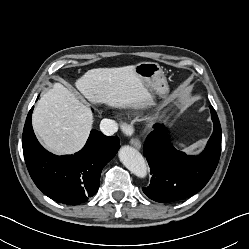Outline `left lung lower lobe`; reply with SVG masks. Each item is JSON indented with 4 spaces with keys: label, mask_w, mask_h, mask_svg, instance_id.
I'll use <instances>...</instances> for the list:
<instances>
[{
    "label": "left lung lower lobe",
    "mask_w": 249,
    "mask_h": 249,
    "mask_svg": "<svg viewBox=\"0 0 249 249\" xmlns=\"http://www.w3.org/2000/svg\"><path fill=\"white\" fill-rule=\"evenodd\" d=\"M214 131L205 150L188 156L176 150L167 128L156 125L144 144L151 169V183L143 192L157 202L181 200L200 191L213 175L221 153V126L216 111L210 106Z\"/></svg>",
    "instance_id": "left-lung-lower-lobe-1"
}]
</instances>
